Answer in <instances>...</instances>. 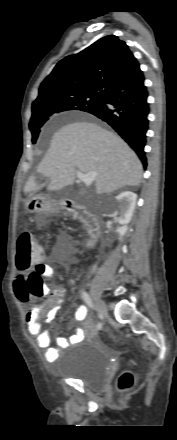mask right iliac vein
<instances>
[{"label":"right iliac vein","instance_id":"right-iliac-vein-1","mask_svg":"<svg viewBox=\"0 0 177 440\" xmlns=\"http://www.w3.org/2000/svg\"><path fill=\"white\" fill-rule=\"evenodd\" d=\"M95 303H96V309L101 315V317H105L107 315V307L105 303L100 298H96Z\"/></svg>","mask_w":177,"mask_h":440}]
</instances>
